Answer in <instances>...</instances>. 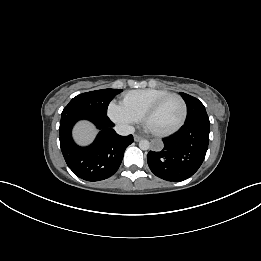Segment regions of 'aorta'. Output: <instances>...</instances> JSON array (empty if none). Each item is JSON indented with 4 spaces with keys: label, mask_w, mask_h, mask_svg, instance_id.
<instances>
[{
    "label": "aorta",
    "mask_w": 261,
    "mask_h": 261,
    "mask_svg": "<svg viewBox=\"0 0 261 261\" xmlns=\"http://www.w3.org/2000/svg\"><path fill=\"white\" fill-rule=\"evenodd\" d=\"M139 147L142 150H148L150 148V142L148 140H141L139 142Z\"/></svg>",
    "instance_id": "obj_1"
}]
</instances>
